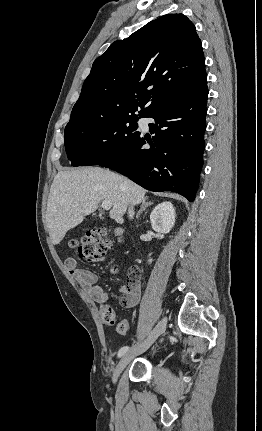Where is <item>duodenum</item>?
I'll use <instances>...</instances> for the list:
<instances>
[{"label":"duodenum","instance_id":"410a0bca","mask_svg":"<svg viewBox=\"0 0 262 431\" xmlns=\"http://www.w3.org/2000/svg\"><path fill=\"white\" fill-rule=\"evenodd\" d=\"M122 233H123V231H122V229H121V228H117V229H116V234H117L118 236H121V235H122Z\"/></svg>","mask_w":262,"mask_h":431}]
</instances>
